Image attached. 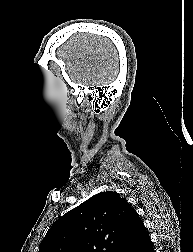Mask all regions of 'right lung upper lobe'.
<instances>
[{
    "mask_svg": "<svg viewBox=\"0 0 193 252\" xmlns=\"http://www.w3.org/2000/svg\"><path fill=\"white\" fill-rule=\"evenodd\" d=\"M143 230L141 218L126 199L102 192L57 220L39 252H127Z\"/></svg>",
    "mask_w": 193,
    "mask_h": 252,
    "instance_id": "1",
    "label": "right lung upper lobe"
}]
</instances>
